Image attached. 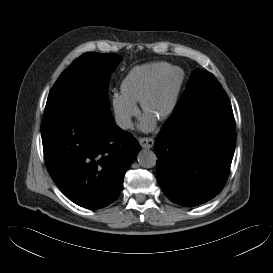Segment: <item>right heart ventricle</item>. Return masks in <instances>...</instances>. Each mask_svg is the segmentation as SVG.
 <instances>
[{"label":"right heart ventricle","instance_id":"e07e8e85","mask_svg":"<svg viewBox=\"0 0 273 273\" xmlns=\"http://www.w3.org/2000/svg\"><path fill=\"white\" fill-rule=\"evenodd\" d=\"M167 67L166 63L152 62L133 68L121 85V95L136 104L154 76Z\"/></svg>","mask_w":273,"mask_h":273}]
</instances>
